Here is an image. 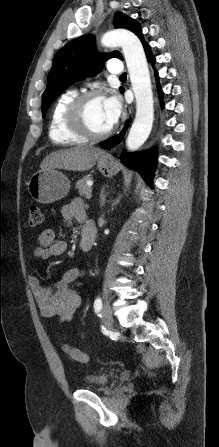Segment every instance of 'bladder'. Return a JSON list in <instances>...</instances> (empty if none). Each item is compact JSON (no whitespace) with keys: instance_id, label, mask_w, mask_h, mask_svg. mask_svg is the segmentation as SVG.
<instances>
[{"instance_id":"bladder-1","label":"bladder","mask_w":219,"mask_h":447,"mask_svg":"<svg viewBox=\"0 0 219 447\" xmlns=\"http://www.w3.org/2000/svg\"><path fill=\"white\" fill-rule=\"evenodd\" d=\"M112 375L109 373L92 374L86 377L91 384L89 388L98 389L105 387L111 380Z\"/></svg>"}]
</instances>
